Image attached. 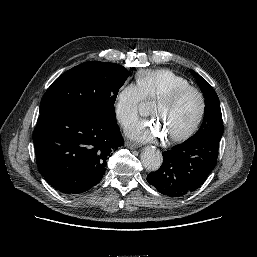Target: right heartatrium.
<instances>
[{
	"label": "right heart atrium",
	"mask_w": 257,
	"mask_h": 257,
	"mask_svg": "<svg viewBox=\"0 0 257 257\" xmlns=\"http://www.w3.org/2000/svg\"><path fill=\"white\" fill-rule=\"evenodd\" d=\"M144 100L141 90L134 83L124 84L115 98V114L122 126L132 124L139 114V108Z\"/></svg>",
	"instance_id": "right-heart-atrium-1"
}]
</instances>
